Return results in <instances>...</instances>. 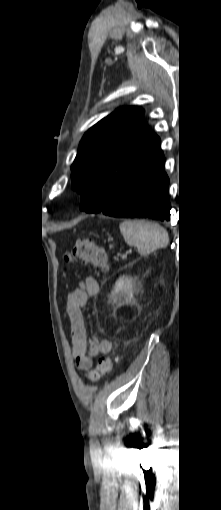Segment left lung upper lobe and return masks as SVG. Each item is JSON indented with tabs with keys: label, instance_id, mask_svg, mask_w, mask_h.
<instances>
[{
	"label": "left lung upper lobe",
	"instance_id": "left-lung-upper-lobe-1",
	"mask_svg": "<svg viewBox=\"0 0 221 510\" xmlns=\"http://www.w3.org/2000/svg\"><path fill=\"white\" fill-rule=\"evenodd\" d=\"M143 110L121 107L83 136L71 167L72 189L90 208L106 207L125 185L161 154L160 138L143 121Z\"/></svg>",
	"mask_w": 221,
	"mask_h": 510
}]
</instances>
